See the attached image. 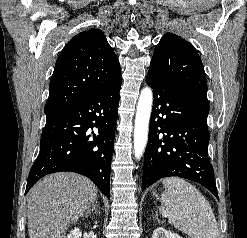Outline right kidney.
<instances>
[{
    "mask_svg": "<svg viewBox=\"0 0 247 238\" xmlns=\"http://www.w3.org/2000/svg\"><path fill=\"white\" fill-rule=\"evenodd\" d=\"M80 230L79 228H74L65 238H79Z\"/></svg>",
    "mask_w": 247,
    "mask_h": 238,
    "instance_id": "ca27d5eb",
    "label": "right kidney"
}]
</instances>
